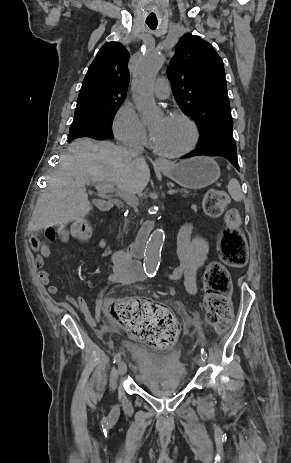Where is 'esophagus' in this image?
<instances>
[{"label":"esophagus","instance_id":"34e87169","mask_svg":"<svg viewBox=\"0 0 291 463\" xmlns=\"http://www.w3.org/2000/svg\"><path fill=\"white\" fill-rule=\"evenodd\" d=\"M155 164L162 166V165H166L167 162L161 158H158L155 160Z\"/></svg>","mask_w":291,"mask_h":463}]
</instances>
